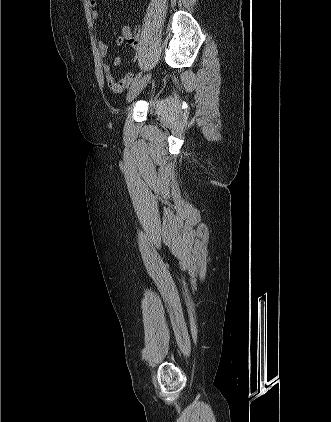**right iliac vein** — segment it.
Masks as SVG:
<instances>
[{"mask_svg": "<svg viewBox=\"0 0 331 422\" xmlns=\"http://www.w3.org/2000/svg\"><path fill=\"white\" fill-rule=\"evenodd\" d=\"M150 78H151V75L147 74L141 80H139L134 86L130 88L126 97L127 103H130L131 101H133L140 94V92L146 87Z\"/></svg>", "mask_w": 331, "mask_h": 422, "instance_id": "1", "label": "right iliac vein"}]
</instances>
